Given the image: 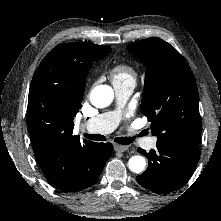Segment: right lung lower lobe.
Wrapping results in <instances>:
<instances>
[{
	"instance_id": "obj_1",
	"label": "right lung lower lobe",
	"mask_w": 221,
	"mask_h": 221,
	"mask_svg": "<svg viewBox=\"0 0 221 221\" xmlns=\"http://www.w3.org/2000/svg\"><path fill=\"white\" fill-rule=\"evenodd\" d=\"M113 152L111 143H96L82 160L78 167L79 176L77 181L65 188L64 192H75L94 185Z\"/></svg>"
}]
</instances>
